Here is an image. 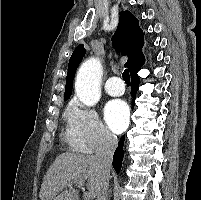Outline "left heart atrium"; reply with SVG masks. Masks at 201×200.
I'll use <instances>...</instances> for the list:
<instances>
[{
    "mask_svg": "<svg viewBox=\"0 0 201 200\" xmlns=\"http://www.w3.org/2000/svg\"><path fill=\"white\" fill-rule=\"evenodd\" d=\"M104 117L108 127L113 132L120 133L128 125V105L123 100H112L105 107Z\"/></svg>",
    "mask_w": 201,
    "mask_h": 200,
    "instance_id": "39dd6f15",
    "label": "left heart atrium"
}]
</instances>
